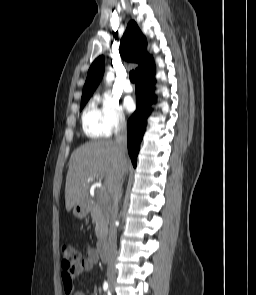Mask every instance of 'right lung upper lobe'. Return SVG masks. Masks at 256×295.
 <instances>
[{
  "mask_svg": "<svg viewBox=\"0 0 256 295\" xmlns=\"http://www.w3.org/2000/svg\"><path fill=\"white\" fill-rule=\"evenodd\" d=\"M147 41L134 21H131L120 41V54L123 59L138 63L136 77L142 72L150 69L153 64V58L146 52ZM104 73V57L99 56L90 66L85 85L83 87L82 97L93 94L97 88Z\"/></svg>",
  "mask_w": 256,
  "mask_h": 295,
  "instance_id": "cb5924a9",
  "label": "right lung upper lobe"
}]
</instances>
